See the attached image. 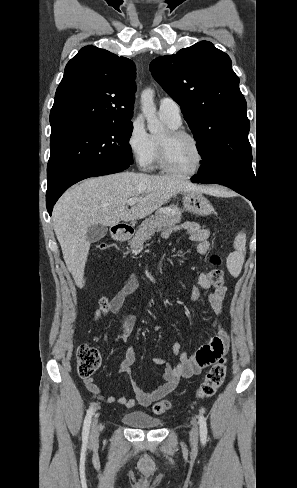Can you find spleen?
<instances>
[{"mask_svg":"<svg viewBox=\"0 0 297 488\" xmlns=\"http://www.w3.org/2000/svg\"><path fill=\"white\" fill-rule=\"evenodd\" d=\"M246 236L240 233L236 236L234 241L235 251L227 258V267L232 276L238 277L245 258Z\"/></svg>","mask_w":297,"mask_h":488,"instance_id":"obj_1","label":"spleen"}]
</instances>
